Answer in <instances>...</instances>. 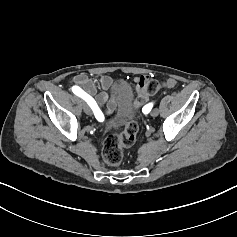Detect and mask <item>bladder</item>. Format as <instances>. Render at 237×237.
<instances>
[{"label": "bladder", "instance_id": "31cf9c89", "mask_svg": "<svg viewBox=\"0 0 237 237\" xmlns=\"http://www.w3.org/2000/svg\"><path fill=\"white\" fill-rule=\"evenodd\" d=\"M135 110L132 104V96L129 88L125 86L122 92V106L118 115L110 120L106 125L110 129H115L121 126L127 119L134 114Z\"/></svg>", "mask_w": 237, "mask_h": 237}]
</instances>
